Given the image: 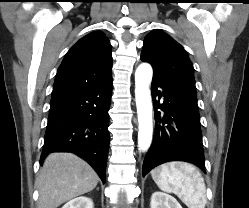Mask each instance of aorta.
<instances>
[{
	"label": "aorta",
	"mask_w": 249,
	"mask_h": 208,
	"mask_svg": "<svg viewBox=\"0 0 249 208\" xmlns=\"http://www.w3.org/2000/svg\"><path fill=\"white\" fill-rule=\"evenodd\" d=\"M153 76L150 64L142 63L135 72V99L137 106L139 131L138 148L148 150L152 141V100L149 85Z\"/></svg>",
	"instance_id": "762f6f07"
}]
</instances>
